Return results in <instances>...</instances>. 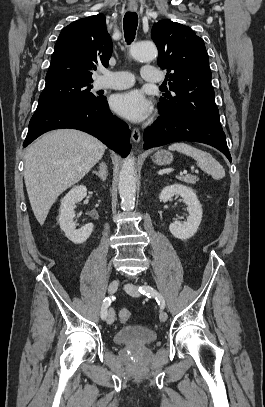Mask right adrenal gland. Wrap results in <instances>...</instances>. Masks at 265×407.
<instances>
[{"label": "right adrenal gland", "instance_id": "2a0ac1e0", "mask_svg": "<svg viewBox=\"0 0 265 407\" xmlns=\"http://www.w3.org/2000/svg\"><path fill=\"white\" fill-rule=\"evenodd\" d=\"M93 174L97 175L100 178V180L105 182L108 175L107 165L104 162H101L99 166V171H93Z\"/></svg>", "mask_w": 265, "mask_h": 407}]
</instances>
